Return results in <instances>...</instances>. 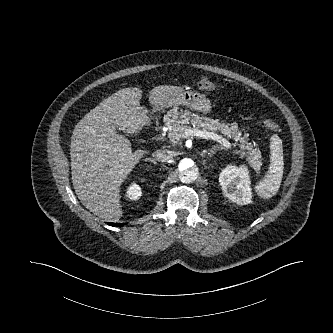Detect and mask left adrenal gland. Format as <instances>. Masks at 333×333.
<instances>
[{"label":"left adrenal gland","mask_w":333,"mask_h":333,"mask_svg":"<svg viewBox=\"0 0 333 333\" xmlns=\"http://www.w3.org/2000/svg\"><path fill=\"white\" fill-rule=\"evenodd\" d=\"M216 149H223L222 147H219V146H214L210 149V151L208 152V155L211 157L213 156V154L215 153V150Z\"/></svg>","instance_id":"obj_1"}]
</instances>
